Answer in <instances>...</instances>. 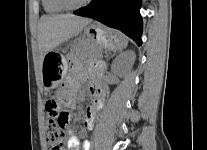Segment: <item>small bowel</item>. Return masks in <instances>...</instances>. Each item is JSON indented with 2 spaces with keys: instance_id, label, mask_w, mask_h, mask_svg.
<instances>
[{
  "instance_id": "c3829d8e",
  "label": "small bowel",
  "mask_w": 207,
  "mask_h": 150,
  "mask_svg": "<svg viewBox=\"0 0 207 150\" xmlns=\"http://www.w3.org/2000/svg\"><path fill=\"white\" fill-rule=\"evenodd\" d=\"M98 64L92 65V71L99 70ZM84 75H79L75 77H71L69 79V93L65 96V100L67 105L70 108H74L76 106V97L75 92L79 89L80 82L84 79ZM93 99L89 103L86 115L84 118V125L88 129H91L94 125L95 118L97 116L98 111L102 107L103 98L105 95V88L98 82H93L90 87ZM92 140H83L82 150H91ZM67 147L70 150H77L78 147V137L75 133H71L67 140Z\"/></svg>"
}]
</instances>
